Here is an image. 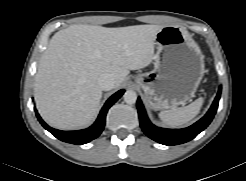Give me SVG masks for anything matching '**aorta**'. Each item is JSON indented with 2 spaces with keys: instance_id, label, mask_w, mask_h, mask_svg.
Segmentation results:
<instances>
[{
  "instance_id": "obj_1",
  "label": "aorta",
  "mask_w": 246,
  "mask_h": 181,
  "mask_svg": "<svg viewBox=\"0 0 246 181\" xmlns=\"http://www.w3.org/2000/svg\"><path fill=\"white\" fill-rule=\"evenodd\" d=\"M123 98L127 104H134L137 101V94L134 90H127L124 93Z\"/></svg>"
}]
</instances>
